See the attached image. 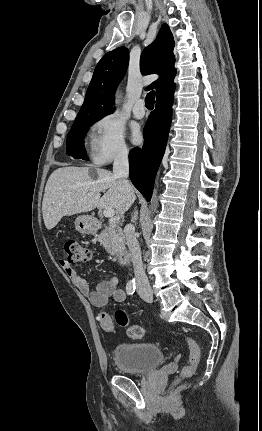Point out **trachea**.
<instances>
[{
    "label": "trachea",
    "mask_w": 262,
    "mask_h": 431,
    "mask_svg": "<svg viewBox=\"0 0 262 431\" xmlns=\"http://www.w3.org/2000/svg\"><path fill=\"white\" fill-rule=\"evenodd\" d=\"M154 102H155V92L150 91L145 97L146 108L153 109L154 108Z\"/></svg>",
    "instance_id": "trachea-1"
}]
</instances>
